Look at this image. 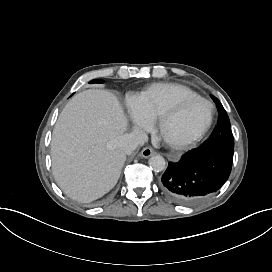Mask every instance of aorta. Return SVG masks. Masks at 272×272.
<instances>
[{"label": "aorta", "instance_id": "aorta-1", "mask_svg": "<svg viewBox=\"0 0 272 272\" xmlns=\"http://www.w3.org/2000/svg\"><path fill=\"white\" fill-rule=\"evenodd\" d=\"M149 166L155 172H162L165 167V159L161 155H154L149 159Z\"/></svg>", "mask_w": 272, "mask_h": 272}]
</instances>
